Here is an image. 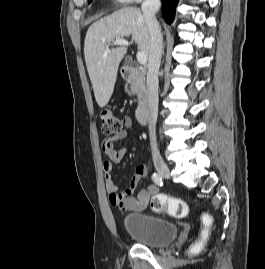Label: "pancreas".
<instances>
[{
    "instance_id": "obj_1",
    "label": "pancreas",
    "mask_w": 265,
    "mask_h": 269,
    "mask_svg": "<svg viewBox=\"0 0 265 269\" xmlns=\"http://www.w3.org/2000/svg\"><path fill=\"white\" fill-rule=\"evenodd\" d=\"M129 84L131 85V88L133 89L134 88V81H130Z\"/></svg>"
}]
</instances>
